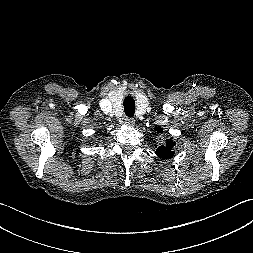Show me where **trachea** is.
Instances as JSON below:
<instances>
[{"mask_svg": "<svg viewBox=\"0 0 253 253\" xmlns=\"http://www.w3.org/2000/svg\"><path fill=\"white\" fill-rule=\"evenodd\" d=\"M124 111L128 117H133L135 113V100L132 96L128 95L124 99Z\"/></svg>", "mask_w": 253, "mask_h": 253, "instance_id": "3493384b", "label": "trachea"}]
</instances>
